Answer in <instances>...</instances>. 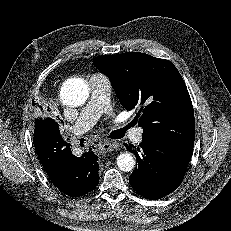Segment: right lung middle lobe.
I'll return each mask as SVG.
<instances>
[{"label": "right lung middle lobe", "mask_w": 231, "mask_h": 231, "mask_svg": "<svg viewBox=\"0 0 231 231\" xmlns=\"http://www.w3.org/2000/svg\"><path fill=\"white\" fill-rule=\"evenodd\" d=\"M41 121H42L41 119H40V120L37 119V120L35 121V126H36V125H39Z\"/></svg>", "instance_id": "1"}]
</instances>
